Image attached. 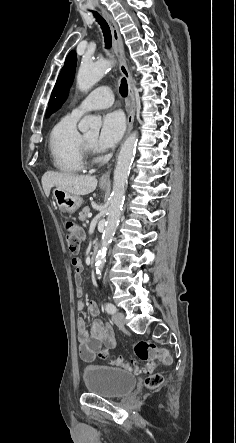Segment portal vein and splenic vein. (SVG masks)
Here are the masks:
<instances>
[{"instance_id": "obj_1", "label": "portal vein and splenic vein", "mask_w": 236, "mask_h": 443, "mask_svg": "<svg viewBox=\"0 0 236 443\" xmlns=\"http://www.w3.org/2000/svg\"><path fill=\"white\" fill-rule=\"evenodd\" d=\"M91 217H92V214H91V213H89V214H88V218H91Z\"/></svg>"}]
</instances>
